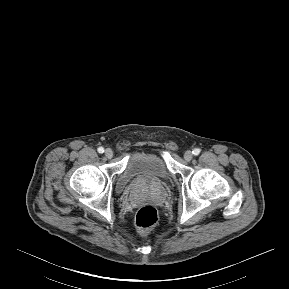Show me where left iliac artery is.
<instances>
[{
	"mask_svg": "<svg viewBox=\"0 0 289 289\" xmlns=\"http://www.w3.org/2000/svg\"><path fill=\"white\" fill-rule=\"evenodd\" d=\"M192 153L194 155H198L200 153V149L199 148H195Z\"/></svg>",
	"mask_w": 289,
	"mask_h": 289,
	"instance_id": "1",
	"label": "left iliac artery"
}]
</instances>
